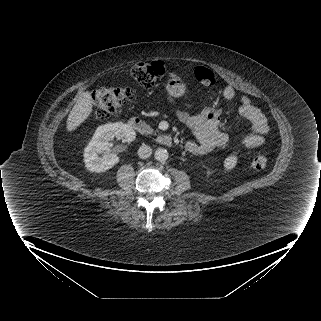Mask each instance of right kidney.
Here are the masks:
<instances>
[{
  "mask_svg": "<svg viewBox=\"0 0 321 321\" xmlns=\"http://www.w3.org/2000/svg\"><path fill=\"white\" fill-rule=\"evenodd\" d=\"M134 130L122 122L108 123L99 126L92 139L84 149L85 167L92 172H105L119 162L116 154H105L99 157L102 151L109 150L114 137L122 138L126 142L135 139Z\"/></svg>",
  "mask_w": 321,
  "mask_h": 321,
  "instance_id": "ca27d5eb",
  "label": "right kidney"
}]
</instances>
